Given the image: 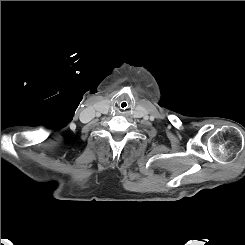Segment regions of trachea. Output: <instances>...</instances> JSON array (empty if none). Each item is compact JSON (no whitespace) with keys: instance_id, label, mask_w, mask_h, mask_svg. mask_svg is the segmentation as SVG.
<instances>
[{"instance_id":"3493384b","label":"trachea","mask_w":245,"mask_h":245,"mask_svg":"<svg viewBox=\"0 0 245 245\" xmlns=\"http://www.w3.org/2000/svg\"><path fill=\"white\" fill-rule=\"evenodd\" d=\"M119 108L121 109V110H127L128 108H129V102L128 101H126V100H123V101H121L120 103H119Z\"/></svg>"}]
</instances>
